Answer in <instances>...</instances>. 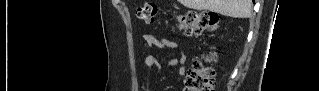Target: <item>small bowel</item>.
Returning a JSON list of instances; mask_svg holds the SVG:
<instances>
[{
	"label": "small bowel",
	"instance_id": "small-bowel-1",
	"mask_svg": "<svg viewBox=\"0 0 319 91\" xmlns=\"http://www.w3.org/2000/svg\"><path fill=\"white\" fill-rule=\"evenodd\" d=\"M144 41L150 47L159 49H177L179 43L176 40L170 38H157L152 34H145ZM186 55L184 53H179L175 57L169 59L167 64L169 66H175L178 68V74L184 76L186 74L185 67ZM142 65L145 68H158L160 66L159 61L153 55H147L143 58Z\"/></svg>",
	"mask_w": 319,
	"mask_h": 91
}]
</instances>
